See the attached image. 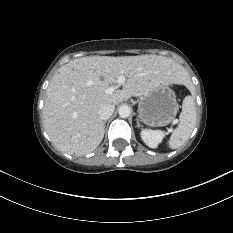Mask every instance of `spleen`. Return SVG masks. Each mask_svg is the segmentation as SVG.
<instances>
[{"mask_svg": "<svg viewBox=\"0 0 233 233\" xmlns=\"http://www.w3.org/2000/svg\"><path fill=\"white\" fill-rule=\"evenodd\" d=\"M196 123V108L193 96H186L182 104V112L179 116V124L169 139V147L177 149L190 137Z\"/></svg>", "mask_w": 233, "mask_h": 233, "instance_id": "obj_1", "label": "spleen"}]
</instances>
